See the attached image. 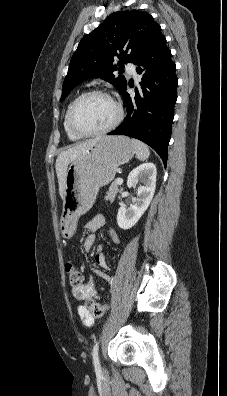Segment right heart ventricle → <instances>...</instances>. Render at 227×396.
Instances as JSON below:
<instances>
[{
	"instance_id": "right-heart-ventricle-1",
	"label": "right heart ventricle",
	"mask_w": 227,
	"mask_h": 396,
	"mask_svg": "<svg viewBox=\"0 0 227 396\" xmlns=\"http://www.w3.org/2000/svg\"><path fill=\"white\" fill-rule=\"evenodd\" d=\"M71 104H72V102L68 104V106L65 110L64 117H63V127H64V131H65L67 137L71 141H77V140H80L81 137L76 135L75 133H73L69 127V124H68V113H69V108H70Z\"/></svg>"
}]
</instances>
